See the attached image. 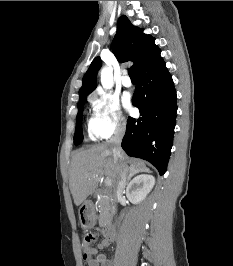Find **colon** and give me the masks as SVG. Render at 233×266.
Listing matches in <instances>:
<instances>
[{"instance_id": "5ec220e1", "label": "colon", "mask_w": 233, "mask_h": 266, "mask_svg": "<svg viewBox=\"0 0 233 266\" xmlns=\"http://www.w3.org/2000/svg\"><path fill=\"white\" fill-rule=\"evenodd\" d=\"M98 237H99V231L93 230L85 236L84 241L88 243H93L98 239Z\"/></svg>"}]
</instances>
